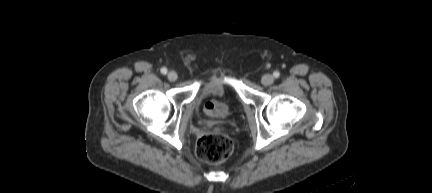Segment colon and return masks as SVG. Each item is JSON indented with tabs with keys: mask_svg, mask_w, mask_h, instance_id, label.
<instances>
[{
	"mask_svg": "<svg viewBox=\"0 0 432 193\" xmlns=\"http://www.w3.org/2000/svg\"><path fill=\"white\" fill-rule=\"evenodd\" d=\"M234 144L230 137L221 134H207L197 143L196 154L208 163L225 161L233 152Z\"/></svg>",
	"mask_w": 432,
	"mask_h": 193,
	"instance_id": "obj_1",
	"label": "colon"
}]
</instances>
